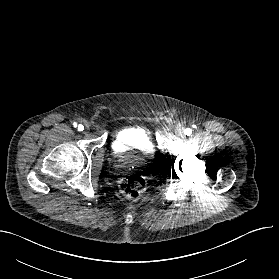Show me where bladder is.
Instances as JSON below:
<instances>
[{
  "label": "bladder",
  "mask_w": 279,
  "mask_h": 279,
  "mask_svg": "<svg viewBox=\"0 0 279 279\" xmlns=\"http://www.w3.org/2000/svg\"><path fill=\"white\" fill-rule=\"evenodd\" d=\"M112 149L123 166L140 165L155 157L156 147L149 130L131 126L117 131Z\"/></svg>",
  "instance_id": "bladder-1"
}]
</instances>
